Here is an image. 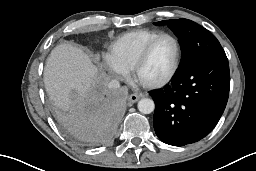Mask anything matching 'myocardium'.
I'll return each instance as SVG.
<instances>
[{"mask_svg":"<svg viewBox=\"0 0 256 171\" xmlns=\"http://www.w3.org/2000/svg\"><path fill=\"white\" fill-rule=\"evenodd\" d=\"M163 38H170L173 40V42L175 44L176 53H175L173 65H172L170 71L168 72V74L165 77H163L162 79L153 81V82L142 81L139 77L140 70L143 67V65L146 63V61L148 60L154 46ZM180 61H181V46H180L179 40L174 35H172L170 33H161L147 43V45L144 47V49L140 53L139 57L135 61L131 71H132L134 80L138 84H140L141 86H143L145 88L156 89V88L163 87L164 85H166L173 79V77L177 73L178 68L180 66Z\"/></svg>","mask_w":256,"mask_h":171,"instance_id":"myocardium-1","label":"myocardium"}]
</instances>
